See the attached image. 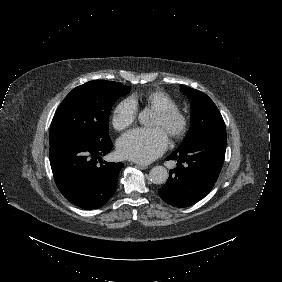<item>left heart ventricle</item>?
Masks as SVG:
<instances>
[{
  "mask_svg": "<svg viewBox=\"0 0 282 282\" xmlns=\"http://www.w3.org/2000/svg\"><path fill=\"white\" fill-rule=\"evenodd\" d=\"M157 126H162V120L157 114H155L152 122V127H157Z\"/></svg>",
  "mask_w": 282,
  "mask_h": 282,
  "instance_id": "obj_1",
  "label": "left heart ventricle"
}]
</instances>
